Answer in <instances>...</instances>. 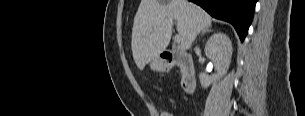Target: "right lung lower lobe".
Here are the masks:
<instances>
[{
	"instance_id": "right-lung-lower-lobe-1",
	"label": "right lung lower lobe",
	"mask_w": 305,
	"mask_h": 116,
	"mask_svg": "<svg viewBox=\"0 0 305 116\" xmlns=\"http://www.w3.org/2000/svg\"><path fill=\"white\" fill-rule=\"evenodd\" d=\"M204 8L211 16L230 22L241 41L248 33L257 0H190Z\"/></svg>"
}]
</instances>
